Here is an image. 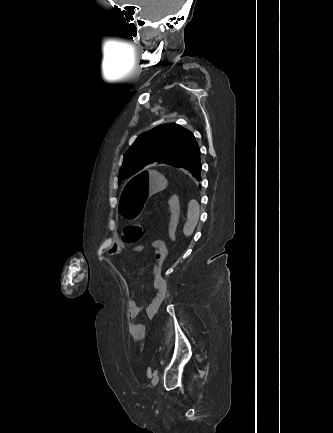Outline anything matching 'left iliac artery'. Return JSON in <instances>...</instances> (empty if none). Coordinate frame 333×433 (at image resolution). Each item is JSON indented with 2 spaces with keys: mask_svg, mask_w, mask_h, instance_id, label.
<instances>
[{
  "mask_svg": "<svg viewBox=\"0 0 333 433\" xmlns=\"http://www.w3.org/2000/svg\"><path fill=\"white\" fill-rule=\"evenodd\" d=\"M157 374V371H154L153 375ZM148 376H151V369L148 370Z\"/></svg>",
  "mask_w": 333,
  "mask_h": 433,
  "instance_id": "44dca946",
  "label": "left iliac artery"
}]
</instances>
